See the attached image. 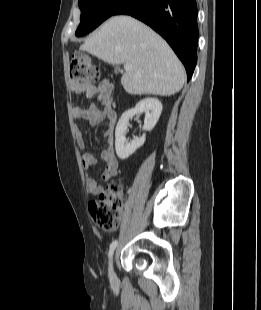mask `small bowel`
<instances>
[{
    "mask_svg": "<svg viewBox=\"0 0 261 310\" xmlns=\"http://www.w3.org/2000/svg\"><path fill=\"white\" fill-rule=\"evenodd\" d=\"M72 91L75 94H84L87 98H96L97 102L102 106L100 109L95 103L90 104L87 108L74 107L72 114L75 119H83L90 125L96 126L108 119V125L103 133L106 139V147L101 152V161L105 164L102 179L108 181L115 177L118 173V159L114 152V127L116 122V113L112 108L111 87L108 81H101L98 85L92 86H73ZM75 136L78 145L85 147L84 136L80 128L76 127ZM98 163L97 158L89 152L82 154L83 167L88 170ZM86 187L89 193L97 195L103 192L102 186L98 185L96 180L90 176H86Z\"/></svg>",
    "mask_w": 261,
    "mask_h": 310,
    "instance_id": "1",
    "label": "small bowel"
}]
</instances>
